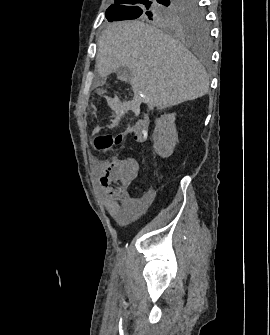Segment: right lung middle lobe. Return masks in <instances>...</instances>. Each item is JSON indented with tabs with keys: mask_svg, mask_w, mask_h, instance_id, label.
Masks as SVG:
<instances>
[{
	"mask_svg": "<svg viewBox=\"0 0 270 335\" xmlns=\"http://www.w3.org/2000/svg\"><path fill=\"white\" fill-rule=\"evenodd\" d=\"M198 0H115L106 11L108 21L137 19L176 32L199 44L208 42L206 11Z\"/></svg>",
	"mask_w": 270,
	"mask_h": 335,
	"instance_id": "right-lung-middle-lobe-1",
	"label": "right lung middle lobe"
}]
</instances>
